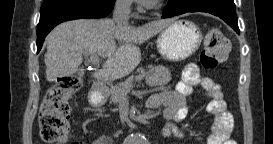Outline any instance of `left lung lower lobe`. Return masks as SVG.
I'll return each instance as SVG.
<instances>
[{
	"label": "left lung lower lobe",
	"instance_id": "0a47b994",
	"mask_svg": "<svg viewBox=\"0 0 273 144\" xmlns=\"http://www.w3.org/2000/svg\"><path fill=\"white\" fill-rule=\"evenodd\" d=\"M198 11L219 16L240 34L234 0H169L163 10L162 18Z\"/></svg>",
	"mask_w": 273,
	"mask_h": 144
}]
</instances>
